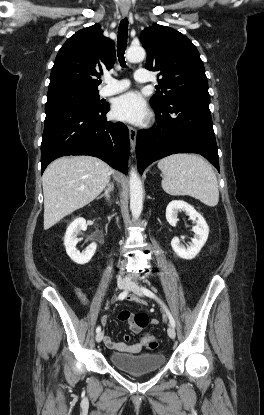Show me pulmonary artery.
Masks as SVG:
<instances>
[{
	"instance_id": "1",
	"label": "pulmonary artery",
	"mask_w": 264,
	"mask_h": 415,
	"mask_svg": "<svg viewBox=\"0 0 264 415\" xmlns=\"http://www.w3.org/2000/svg\"><path fill=\"white\" fill-rule=\"evenodd\" d=\"M134 79L137 82L147 83L150 81V76L147 73L137 71L134 74ZM105 86L100 90V95L109 96L124 91L130 87V81L127 79H116L108 76L105 78Z\"/></svg>"
}]
</instances>
